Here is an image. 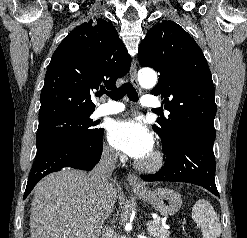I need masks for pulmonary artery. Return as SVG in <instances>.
<instances>
[{"instance_id":"1","label":"pulmonary artery","mask_w":247,"mask_h":238,"mask_svg":"<svg viewBox=\"0 0 247 238\" xmlns=\"http://www.w3.org/2000/svg\"><path fill=\"white\" fill-rule=\"evenodd\" d=\"M141 104L149 108H157L160 105L157 98L150 95L143 96L141 99ZM124 110H125V106L122 103L108 100L106 103L101 104L96 109L95 115L96 116L113 115V114L121 113Z\"/></svg>"}]
</instances>
